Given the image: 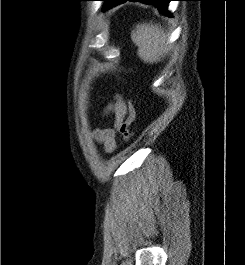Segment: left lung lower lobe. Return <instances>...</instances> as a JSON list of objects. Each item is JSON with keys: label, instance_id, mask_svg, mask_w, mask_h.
<instances>
[{"label": "left lung lower lobe", "instance_id": "left-lung-lower-lobe-1", "mask_svg": "<svg viewBox=\"0 0 245 265\" xmlns=\"http://www.w3.org/2000/svg\"><path fill=\"white\" fill-rule=\"evenodd\" d=\"M126 1H139L142 3H148V4H153L156 7H158V9L161 11V13L167 15V16H171L170 12L167 11V6L168 3L170 1L173 0H108V1H104V5L102 8V11H106L107 9L116 6L120 3L126 2Z\"/></svg>", "mask_w": 245, "mask_h": 265}]
</instances>
